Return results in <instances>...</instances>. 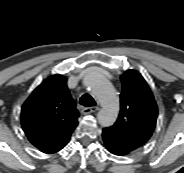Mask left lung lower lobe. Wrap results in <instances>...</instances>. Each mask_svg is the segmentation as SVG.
Listing matches in <instances>:
<instances>
[{"label":"left lung lower lobe","instance_id":"left-lung-lower-lobe-1","mask_svg":"<svg viewBox=\"0 0 184 173\" xmlns=\"http://www.w3.org/2000/svg\"><path fill=\"white\" fill-rule=\"evenodd\" d=\"M102 139L106 149L114 155L124 156L132 152L126 144L106 129L102 132Z\"/></svg>","mask_w":184,"mask_h":173}]
</instances>
